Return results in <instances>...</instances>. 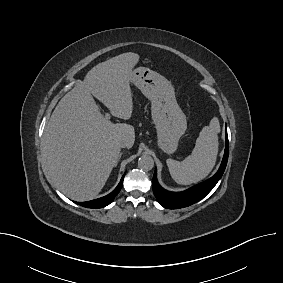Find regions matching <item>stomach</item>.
I'll use <instances>...</instances> for the list:
<instances>
[{"mask_svg":"<svg viewBox=\"0 0 283 283\" xmlns=\"http://www.w3.org/2000/svg\"><path fill=\"white\" fill-rule=\"evenodd\" d=\"M131 82L151 101L159 148L167 154L174 153L180 137L187 129V120L176 101L172 84L146 67L134 69Z\"/></svg>","mask_w":283,"mask_h":283,"instance_id":"1","label":"stomach"}]
</instances>
